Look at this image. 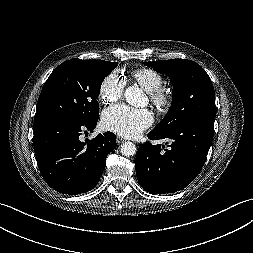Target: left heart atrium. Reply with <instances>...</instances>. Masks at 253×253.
I'll use <instances>...</instances> for the list:
<instances>
[{"label": "left heart atrium", "mask_w": 253, "mask_h": 253, "mask_svg": "<svg viewBox=\"0 0 253 253\" xmlns=\"http://www.w3.org/2000/svg\"><path fill=\"white\" fill-rule=\"evenodd\" d=\"M153 122V115L148 109H136L126 105H117L106 109L102 115L105 129L126 138H135Z\"/></svg>", "instance_id": "obj_1"}]
</instances>
